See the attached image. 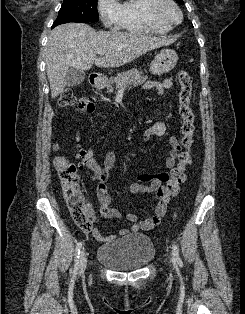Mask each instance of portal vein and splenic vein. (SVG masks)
I'll return each instance as SVG.
<instances>
[{
    "mask_svg": "<svg viewBox=\"0 0 245 314\" xmlns=\"http://www.w3.org/2000/svg\"><path fill=\"white\" fill-rule=\"evenodd\" d=\"M98 54H99V55H105V54H106V51H99Z\"/></svg>",
    "mask_w": 245,
    "mask_h": 314,
    "instance_id": "portal-vein-and-splenic-vein-1",
    "label": "portal vein and splenic vein"
}]
</instances>
